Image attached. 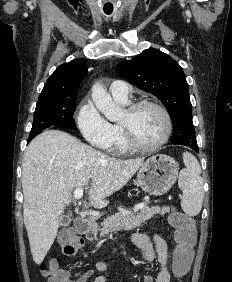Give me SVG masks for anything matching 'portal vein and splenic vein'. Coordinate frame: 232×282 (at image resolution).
I'll return each mask as SVG.
<instances>
[{
    "label": "portal vein and splenic vein",
    "instance_id": "portal-vein-and-splenic-vein-1",
    "mask_svg": "<svg viewBox=\"0 0 232 282\" xmlns=\"http://www.w3.org/2000/svg\"><path fill=\"white\" fill-rule=\"evenodd\" d=\"M83 188H76L74 191V198L75 199H80L83 196ZM146 205V203H140L135 207V211H138L139 209L144 208V206Z\"/></svg>",
    "mask_w": 232,
    "mask_h": 282
}]
</instances>
